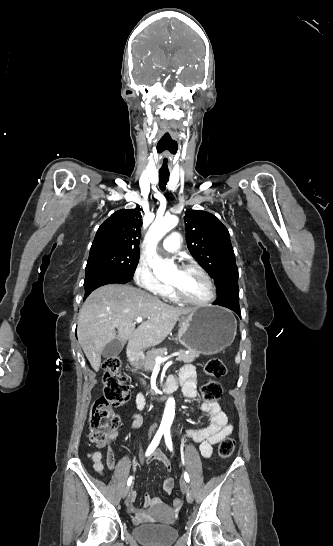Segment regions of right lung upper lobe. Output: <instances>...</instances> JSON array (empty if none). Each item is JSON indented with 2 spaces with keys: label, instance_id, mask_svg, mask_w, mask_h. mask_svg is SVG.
I'll return each instance as SVG.
<instances>
[{
  "label": "right lung upper lobe",
  "instance_id": "cb5924a9",
  "mask_svg": "<svg viewBox=\"0 0 333 546\" xmlns=\"http://www.w3.org/2000/svg\"><path fill=\"white\" fill-rule=\"evenodd\" d=\"M142 209H121L114 212L97 230L90 251L114 248L139 253Z\"/></svg>",
  "mask_w": 333,
  "mask_h": 546
}]
</instances>
